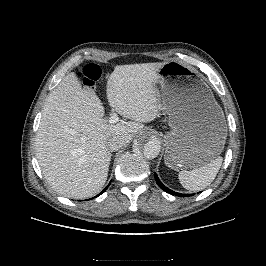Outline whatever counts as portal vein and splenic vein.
I'll list each match as a JSON object with an SVG mask.
<instances>
[{
  "label": "portal vein and splenic vein",
  "instance_id": "obj_1",
  "mask_svg": "<svg viewBox=\"0 0 266 266\" xmlns=\"http://www.w3.org/2000/svg\"><path fill=\"white\" fill-rule=\"evenodd\" d=\"M119 118H118V115L116 113H111V116L109 118V122L110 123H116L118 122Z\"/></svg>",
  "mask_w": 266,
  "mask_h": 266
}]
</instances>
